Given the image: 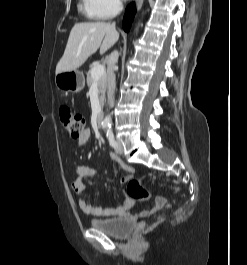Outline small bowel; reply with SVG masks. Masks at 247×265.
Here are the masks:
<instances>
[{
    "instance_id": "1",
    "label": "small bowel",
    "mask_w": 247,
    "mask_h": 265,
    "mask_svg": "<svg viewBox=\"0 0 247 265\" xmlns=\"http://www.w3.org/2000/svg\"><path fill=\"white\" fill-rule=\"evenodd\" d=\"M91 137L90 130L86 129L84 137L79 141L81 146L85 145ZM111 158L118 162L120 166L128 171L133 172L134 169L124 163L121 159L111 154ZM78 178L72 183V188L78 195V205L80 209L87 215L99 216V217H110V216H127L130 218L148 217L161 210L166 200L163 197H157L154 204L148 209L140 212L139 214L131 213L130 210L134 205V199L126 198L125 201L118 207L115 208H101L89 204L85 198V184L84 180L92 178L96 175V170L88 165H79L77 167Z\"/></svg>"
}]
</instances>
